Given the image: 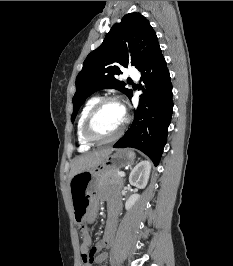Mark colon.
<instances>
[{"label":"colon","mask_w":233,"mask_h":266,"mask_svg":"<svg viewBox=\"0 0 233 266\" xmlns=\"http://www.w3.org/2000/svg\"><path fill=\"white\" fill-rule=\"evenodd\" d=\"M83 229H84V227L82 228V230ZM91 260H92V255L90 253L83 255V262L85 264H89L91 262Z\"/></svg>","instance_id":"obj_1"}]
</instances>
